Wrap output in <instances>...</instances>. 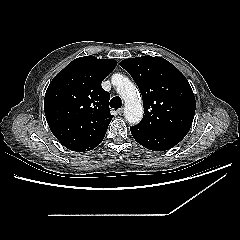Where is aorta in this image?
<instances>
[{"instance_id":"aorta-1","label":"aorta","mask_w":240,"mask_h":240,"mask_svg":"<svg viewBox=\"0 0 240 240\" xmlns=\"http://www.w3.org/2000/svg\"><path fill=\"white\" fill-rule=\"evenodd\" d=\"M112 84L125 101L124 116L126 120L133 125L139 123L143 116V105L134 83L121 74H114Z\"/></svg>"}]
</instances>
